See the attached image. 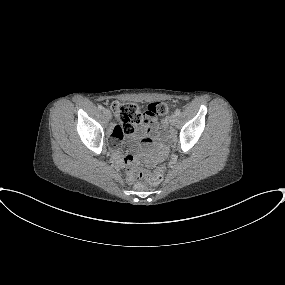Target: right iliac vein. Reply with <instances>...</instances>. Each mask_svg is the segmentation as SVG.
<instances>
[{
  "label": "right iliac vein",
  "instance_id": "1",
  "mask_svg": "<svg viewBox=\"0 0 285 285\" xmlns=\"http://www.w3.org/2000/svg\"><path fill=\"white\" fill-rule=\"evenodd\" d=\"M103 112H104L105 117H106L108 120H110L111 117H112L110 110L105 109Z\"/></svg>",
  "mask_w": 285,
  "mask_h": 285
}]
</instances>
